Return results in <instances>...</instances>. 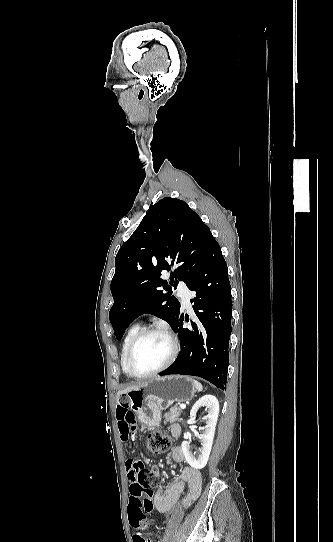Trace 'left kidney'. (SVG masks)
<instances>
[{
  "label": "left kidney",
  "mask_w": 333,
  "mask_h": 542,
  "mask_svg": "<svg viewBox=\"0 0 333 542\" xmlns=\"http://www.w3.org/2000/svg\"><path fill=\"white\" fill-rule=\"evenodd\" d=\"M200 408H206V410H208V416H205V418H207L205 430L203 432V436H200L202 442V448H200V456H198V458H195V456L191 454L190 442H182L181 444L182 452L185 456L186 462H188L191 468H196V470H202V468H205L209 460L215 434V428L218 420L219 402L217 398H215V396H211V394H207V396H202V398H199L198 402H195L190 412V416L194 418Z\"/></svg>",
  "instance_id": "1"
}]
</instances>
